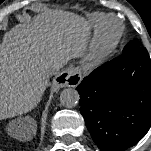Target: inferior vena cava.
Segmentation results:
<instances>
[{
    "label": "inferior vena cava",
    "instance_id": "obj_1",
    "mask_svg": "<svg viewBox=\"0 0 151 151\" xmlns=\"http://www.w3.org/2000/svg\"><path fill=\"white\" fill-rule=\"evenodd\" d=\"M60 68H61V66L59 64L54 65L52 68V73L55 71H58Z\"/></svg>",
    "mask_w": 151,
    "mask_h": 151
}]
</instances>
